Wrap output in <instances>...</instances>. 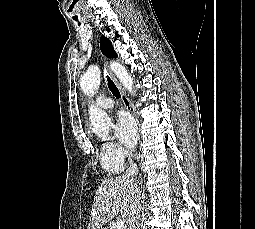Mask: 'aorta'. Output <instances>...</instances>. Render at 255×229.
Listing matches in <instances>:
<instances>
[{
    "label": "aorta",
    "mask_w": 255,
    "mask_h": 229,
    "mask_svg": "<svg viewBox=\"0 0 255 229\" xmlns=\"http://www.w3.org/2000/svg\"><path fill=\"white\" fill-rule=\"evenodd\" d=\"M110 69L120 80L124 88L134 95L135 91L133 90V79L129 75L127 69L119 62H111ZM100 78L101 73L99 67L96 65L90 66L86 73L82 76L80 82V86L84 94L92 96L100 85ZM89 115L94 133L102 140L111 139V137H109V130L112 121L108 114L105 111L91 105L89 108Z\"/></svg>",
    "instance_id": "obj_1"
}]
</instances>
